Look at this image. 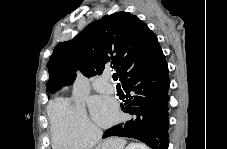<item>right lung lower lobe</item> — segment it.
I'll return each instance as SVG.
<instances>
[{"instance_id": "98d812e1", "label": "right lung lower lobe", "mask_w": 227, "mask_h": 149, "mask_svg": "<svg viewBox=\"0 0 227 149\" xmlns=\"http://www.w3.org/2000/svg\"><path fill=\"white\" fill-rule=\"evenodd\" d=\"M170 85L165 56L156 64L132 73L122 82L129 93L124 112L131 114L123 123L112 127L103 135L138 139L152 149H168V88Z\"/></svg>"}]
</instances>
